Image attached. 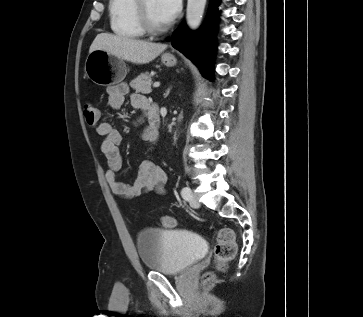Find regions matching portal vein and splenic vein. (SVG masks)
Returning a JSON list of instances; mask_svg holds the SVG:
<instances>
[{
	"instance_id": "18ae733b",
	"label": "portal vein and splenic vein",
	"mask_w": 363,
	"mask_h": 317,
	"mask_svg": "<svg viewBox=\"0 0 363 317\" xmlns=\"http://www.w3.org/2000/svg\"><path fill=\"white\" fill-rule=\"evenodd\" d=\"M160 86V83L159 82H155L154 84H153V87H155V88H157V87H159Z\"/></svg>"
}]
</instances>
